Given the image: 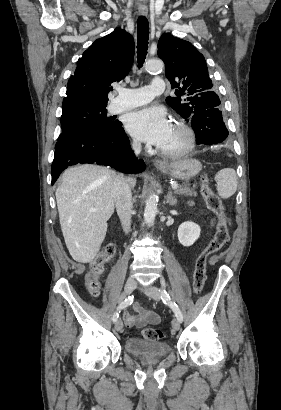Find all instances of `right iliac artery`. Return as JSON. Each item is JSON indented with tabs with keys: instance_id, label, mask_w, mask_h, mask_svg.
Masks as SVG:
<instances>
[{
	"instance_id": "82829eb1",
	"label": "right iliac artery",
	"mask_w": 281,
	"mask_h": 410,
	"mask_svg": "<svg viewBox=\"0 0 281 410\" xmlns=\"http://www.w3.org/2000/svg\"><path fill=\"white\" fill-rule=\"evenodd\" d=\"M133 298H134L133 296H129V297L125 298L124 301H121L119 303V305H118V307H117V309H116V311L113 315V318H112L113 322L117 321V319L119 317V313L122 309L126 308L127 306H129L133 303Z\"/></svg>"
}]
</instances>
